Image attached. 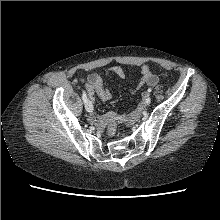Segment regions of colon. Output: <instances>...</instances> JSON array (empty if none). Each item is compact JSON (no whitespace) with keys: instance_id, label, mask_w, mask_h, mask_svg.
Segmentation results:
<instances>
[{"instance_id":"1","label":"colon","mask_w":220,"mask_h":220,"mask_svg":"<svg viewBox=\"0 0 220 220\" xmlns=\"http://www.w3.org/2000/svg\"><path fill=\"white\" fill-rule=\"evenodd\" d=\"M117 133V124L114 116L108 118L107 134L109 137H114Z\"/></svg>"}]
</instances>
